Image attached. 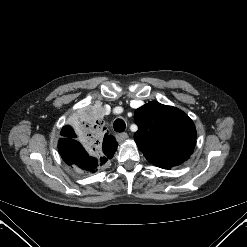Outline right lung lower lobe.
I'll list each match as a JSON object with an SVG mask.
<instances>
[{"mask_svg": "<svg viewBox=\"0 0 247 247\" xmlns=\"http://www.w3.org/2000/svg\"><path fill=\"white\" fill-rule=\"evenodd\" d=\"M59 152L64 161L69 165H75L81 169L93 171L98 163L88 156L83 146L73 138H63L58 143Z\"/></svg>", "mask_w": 247, "mask_h": 247, "instance_id": "98d812e1", "label": "right lung lower lobe"}]
</instances>
